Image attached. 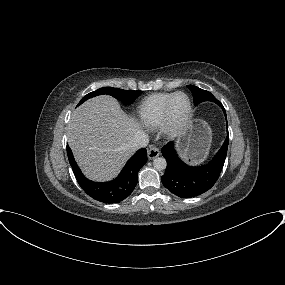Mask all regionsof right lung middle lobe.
<instances>
[{
  "label": "right lung middle lobe",
  "instance_id": "obj_1",
  "mask_svg": "<svg viewBox=\"0 0 285 285\" xmlns=\"http://www.w3.org/2000/svg\"><path fill=\"white\" fill-rule=\"evenodd\" d=\"M141 93V91H127L122 90L119 88H113V87H103L96 91H93L87 95H85L78 105L82 104L84 101H86L89 98L102 95V94H108L116 99L122 101L124 104H131L135 98Z\"/></svg>",
  "mask_w": 285,
  "mask_h": 285
}]
</instances>
